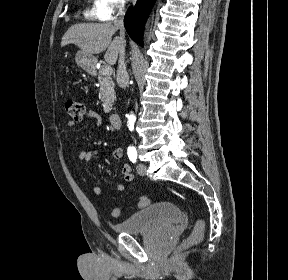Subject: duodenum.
<instances>
[{
    "instance_id": "obj_1",
    "label": "duodenum",
    "mask_w": 288,
    "mask_h": 280,
    "mask_svg": "<svg viewBox=\"0 0 288 280\" xmlns=\"http://www.w3.org/2000/svg\"><path fill=\"white\" fill-rule=\"evenodd\" d=\"M108 121L114 130H119L121 128V120L116 113H111L109 115Z\"/></svg>"
}]
</instances>
